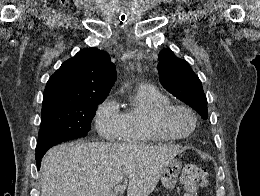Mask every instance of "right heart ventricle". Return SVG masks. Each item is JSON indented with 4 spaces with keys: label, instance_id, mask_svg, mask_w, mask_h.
<instances>
[{
    "label": "right heart ventricle",
    "instance_id": "1",
    "mask_svg": "<svg viewBox=\"0 0 260 196\" xmlns=\"http://www.w3.org/2000/svg\"><path fill=\"white\" fill-rule=\"evenodd\" d=\"M170 103L169 98L157 87L146 83L135 84L128 96V102L123 109V128L137 131L131 138H124L119 143H155L169 141L159 131L151 127L152 113ZM96 190L95 192H106Z\"/></svg>",
    "mask_w": 260,
    "mask_h": 196
}]
</instances>
